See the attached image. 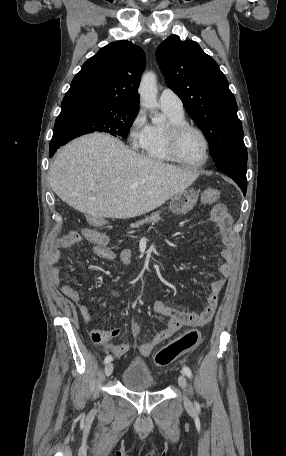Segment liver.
<instances>
[{
    "instance_id": "liver-1",
    "label": "liver",
    "mask_w": 286,
    "mask_h": 456,
    "mask_svg": "<svg viewBox=\"0 0 286 456\" xmlns=\"http://www.w3.org/2000/svg\"><path fill=\"white\" fill-rule=\"evenodd\" d=\"M198 177L144 157L117 138L93 133L59 150L49 183L58 197L96 218H131L148 213L186 190Z\"/></svg>"
}]
</instances>
